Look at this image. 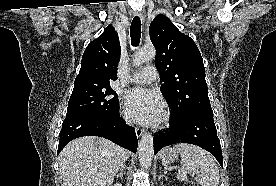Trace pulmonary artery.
<instances>
[{"label": "pulmonary artery", "instance_id": "e3ab8cb5", "mask_svg": "<svg viewBox=\"0 0 276 186\" xmlns=\"http://www.w3.org/2000/svg\"><path fill=\"white\" fill-rule=\"evenodd\" d=\"M158 76L157 69L154 66H147L141 71L132 75L129 79L131 83L143 84L153 82Z\"/></svg>", "mask_w": 276, "mask_h": 186}]
</instances>
